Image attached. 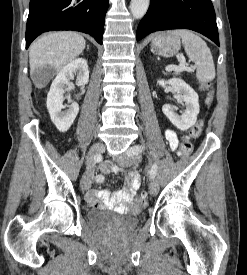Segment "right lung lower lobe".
I'll return each mask as SVG.
<instances>
[{
	"label": "right lung lower lobe",
	"instance_id": "98d812e1",
	"mask_svg": "<svg viewBox=\"0 0 247 275\" xmlns=\"http://www.w3.org/2000/svg\"><path fill=\"white\" fill-rule=\"evenodd\" d=\"M108 0H30L26 25V48L40 34L76 30L90 34L102 44Z\"/></svg>",
	"mask_w": 247,
	"mask_h": 275
}]
</instances>
